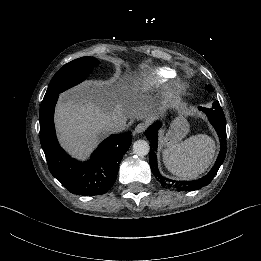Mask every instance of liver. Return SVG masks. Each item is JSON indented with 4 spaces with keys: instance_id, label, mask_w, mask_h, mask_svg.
<instances>
[{
    "instance_id": "6515ba94",
    "label": "liver",
    "mask_w": 261,
    "mask_h": 261,
    "mask_svg": "<svg viewBox=\"0 0 261 261\" xmlns=\"http://www.w3.org/2000/svg\"><path fill=\"white\" fill-rule=\"evenodd\" d=\"M120 75L108 82L88 81L61 95L56 125L62 143L77 155L87 154L111 130L108 124L118 116L144 121L164 107L120 85Z\"/></svg>"
}]
</instances>
